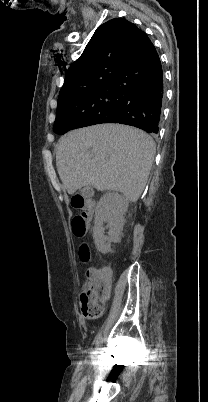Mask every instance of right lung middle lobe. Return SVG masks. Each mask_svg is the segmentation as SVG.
Here are the masks:
<instances>
[{
    "instance_id": "right-lung-middle-lobe-1",
    "label": "right lung middle lobe",
    "mask_w": 208,
    "mask_h": 402,
    "mask_svg": "<svg viewBox=\"0 0 208 402\" xmlns=\"http://www.w3.org/2000/svg\"><path fill=\"white\" fill-rule=\"evenodd\" d=\"M116 91V86L110 80L60 95L54 132H57L62 121L81 120L110 112L117 105Z\"/></svg>"
}]
</instances>
